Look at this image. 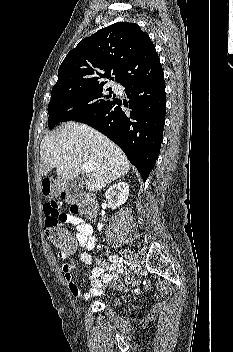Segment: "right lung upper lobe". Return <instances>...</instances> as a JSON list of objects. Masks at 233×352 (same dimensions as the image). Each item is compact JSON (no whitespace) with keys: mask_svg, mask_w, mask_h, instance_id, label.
<instances>
[{"mask_svg":"<svg viewBox=\"0 0 233 352\" xmlns=\"http://www.w3.org/2000/svg\"><path fill=\"white\" fill-rule=\"evenodd\" d=\"M162 71L149 35L135 23L119 22L84 38L67 54L53 89L104 85L114 78L126 86Z\"/></svg>","mask_w":233,"mask_h":352,"instance_id":"right-lung-upper-lobe-1","label":"right lung upper lobe"}]
</instances>
